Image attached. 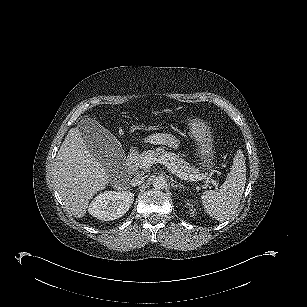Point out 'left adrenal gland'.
Listing matches in <instances>:
<instances>
[{"label": "left adrenal gland", "instance_id": "a2214340", "mask_svg": "<svg viewBox=\"0 0 307 307\" xmlns=\"http://www.w3.org/2000/svg\"><path fill=\"white\" fill-rule=\"evenodd\" d=\"M172 187L173 188H177V187L184 188L183 185H181L180 183L179 184L172 183Z\"/></svg>", "mask_w": 307, "mask_h": 307}]
</instances>
